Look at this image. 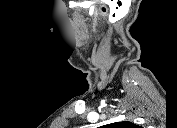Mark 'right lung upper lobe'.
<instances>
[{
	"mask_svg": "<svg viewBox=\"0 0 177 128\" xmlns=\"http://www.w3.org/2000/svg\"><path fill=\"white\" fill-rule=\"evenodd\" d=\"M112 127H117V128H137L138 126L128 122V121H124V122H117L111 125Z\"/></svg>",
	"mask_w": 177,
	"mask_h": 128,
	"instance_id": "obj_1",
	"label": "right lung upper lobe"
}]
</instances>
